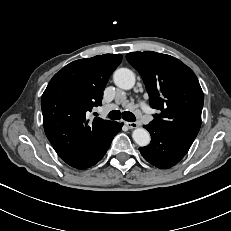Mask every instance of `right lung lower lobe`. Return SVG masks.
I'll return each instance as SVG.
<instances>
[{
  "label": "right lung lower lobe",
  "instance_id": "1",
  "mask_svg": "<svg viewBox=\"0 0 231 231\" xmlns=\"http://www.w3.org/2000/svg\"><path fill=\"white\" fill-rule=\"evenodd\" d=\"M122 126H123V123L119 124V123L116 122V124L113 127V129H112L110 135L108 136V138L104 142L99 144L91 152V154L88 156V158L82 164H80L78 167H75V168H77V169H86L88 167H91V166L95 165L98 161H100L103 158V156L105 155L108 148L110 147V144H111L114 136L121 130Z\"/></svg>",
  "mask_w": 231,
  "mask_h": 231
}]
</instances>
